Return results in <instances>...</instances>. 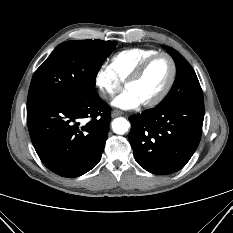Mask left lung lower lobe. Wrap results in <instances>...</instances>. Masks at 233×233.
<instances>
[{"mask_svg":"<svg viewBox=\"0 0 233 233\" xmlns=\"http://www.w3.org/2000/svg\"><path fill=\"white\" fill-rule=\"evenodd\" d=\"M129 119V141L137 163L156 175L171 174L184 167L198 147L204 102H175Z\"/></svg>","mask_w":233,"mask_h":233,"instance_id":"left-lung-lower-lobe-1","label":"left lung lower lobe"}]
</instances>
